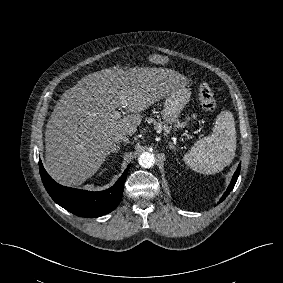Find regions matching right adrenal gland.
Masks as SVG:
<instances>
[{"label":"right adrenal gland","instance_id":"right-adrenal-gland-1","mask_svg":"<svg viewBox=\"0 0 283 283\" xmlns=\"http://www.w3.org/2000/svg\"><path fill=\"white\" fill-rule=\"evenodd\" d=\"M120 143L117 142L116 144L113 145L112 149L110 150V153L114 152V153H118L119 149H120Z\"/></svg>","mask_w":283,"mask_h":283}]
</instances>
